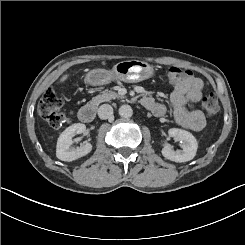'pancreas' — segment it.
I'll use <instances>...</instances> for the list:
<instances>
[{
  "mask_svg": "<svg viewBox=\"0 0 245 245\" xmlns=\"http://www.w3.org/2000/svg\"><path fill=\"white\" fill-rule=\"evenodd\" d=\"M116 98H124V97L117 94L114 91H104L102 94L93 97L89 103L98 106L102 102H106Z\"/></svg>",
  "mask_w": 245,
  "mask_h": 245,
  "instance_id": "pancreas-1",
  "label": "pancreas"
}]
</instances>
